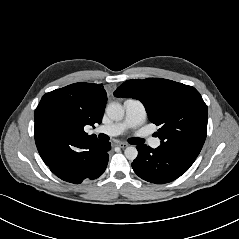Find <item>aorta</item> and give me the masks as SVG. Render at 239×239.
<instances>
[{
    "instance_id": "aorta-1",
    "label": "aorta",
    "mask_w": 239,
    "mask_h": 239,
    "mask_svg": "<svg viewBox=\"0 0 239 239\" xmlns=\"http://www.w3.org/2000/svg\"><path fill=\"white\" fill-rule=\"evenodd\" d=\"M106 113L112 120H121L124 117V108L118 102H112L106 107ZM124 154L128 160H135L138 151L134 146H129L125 149Z\"/></svg>"
}]
</instances>
